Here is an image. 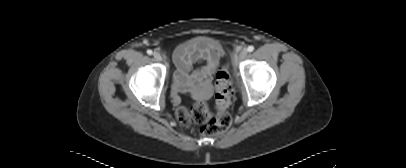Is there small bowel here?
Returning a JSON list of instances; mask_svg holds the SVG:
<instances>
[{"label": "small bowel", "mask_w": 406, "mask_h": 168, "mask_svg": "<svg viewBox=\"0 0 406 168\" xmlns=\"http://www.w3.org/2000/svg\"><path fill=\"white\" fill-rule=\"evenodd\" d=\"M222 55L221 47L212 43L178 47L174 53L177 81L185 84L189 79H198L208 86ZM197 62H202L203 65L189 74L193 64ZM174 102L178 104L180 99L174 97Z\"/></svg>", "instance_id": "small-bowel-1"}]
</instances>
